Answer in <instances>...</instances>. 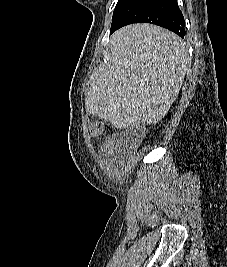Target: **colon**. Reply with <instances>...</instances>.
Returning a JSON list of instances; mask_svg holds the SVG:
<instances>
[{
  "instance_id": "obj_1",
  "label": "colon",
  "mask_w": 227,
  "mask_h": 267,
  "mask_svg": "<svg viewBox=\"0 0 227 267\" xmlns=\"http://www.w3.org/2000/svg\"><path fill=\"white\" fill-rule=\"evenodd\" d=\"M89 134L93 137H100L104 133V125L101 121L95 120L88 126ZM145 130L142 128L130 130L121 140L127 147H135L139 145L145 138Z\"/></svg>"
}]
</instances>
